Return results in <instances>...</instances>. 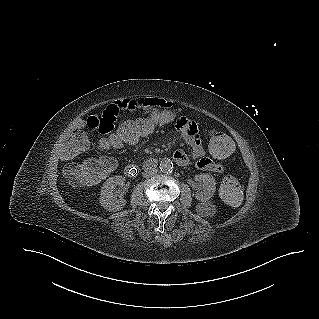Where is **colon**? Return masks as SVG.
Here are the masks:
<instances>
[{"instance_id":"obj_1","label":"colon","mask_w":319,"mask_h":319,"mask_svg":"<svg viewBox=\"0 0 319 319\" xmlns=\"http://www.w3.org/2000/svg\"><path fill=\"white\" fill-rule=\"evenodd\" d=\"M150 133V127L143 126L141 122L136 120L120 126L118 132L114 135H106L97 141L95 147L98 153L103 154L102 156L83 164L71 163L66 167V174L80 186L97 181L112 172L116 166L115 158L107 153H116L128 144H137L141 140L142 135ZM87 145L88 140L85 132H76L64 144L62 156L65 159H73ZM204 146L209 155L218 161L228 159L234 150L232 140L225 132L220 130L210 132L205 138ZM220 191L222 198L231 204H237L241 201V184L234 176H227L223 179Z\"/></svg>"}]
</instances>
